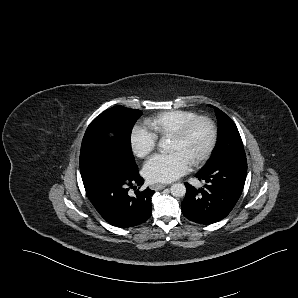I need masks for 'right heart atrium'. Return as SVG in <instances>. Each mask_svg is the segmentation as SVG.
I'll return each instance as SVG.
<instances>
[{
	"label": "right heart atrium",
	"instance_id": "d8ad5b80",
	"mask_svg": "<svg viewBox=\"0 0 298 298\" xmlns=\"http://www.w3.org/2000/svg\"><path fill=\"white\" fill-rule=\"evenodd\" d=\"M130 141L134 153L141 158L150 154L158 143L155 134L139 124L132 128Z\"/></svg>",
	"mask_w": 298,
	"mask_h": 298
}]
</instances>
